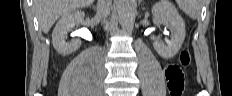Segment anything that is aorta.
<instances>
[{"label": "aorta", "mask_w": 232, "mask_h": 96, "mask_svg": "<svg viewBox=\"0 0 232 96\" xmlns=\"http://www.w3.org/2000/svg\"><path fill=\"white\" fill-rule=\"evenodd\" d=\"M134 9V0H118V17L123 27L131 22Z\"/></svg>", "instance_id": "1"}]
</instances>
